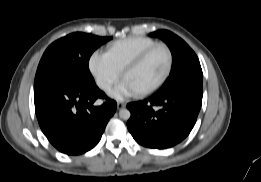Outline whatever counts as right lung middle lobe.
Segmentation results:
<instances>
[{"label": "right lung middle lobe", "mask_w": 261, "mask_h": 182, "mask_svg": "<svg viewBox=\"0 0 261 182\" xmlns=\"http://www.w3.org/2000/svg\"><path fill=\"white\" fill-rule=\"evenodd\" d=\"M112 37H98L72 33L54 43L44 52L38 65L35 84L51 78L63 77L83 89L95 87L88 62L92 53Z\"/></svg>", "instance_id": "1"}]
</instances>
